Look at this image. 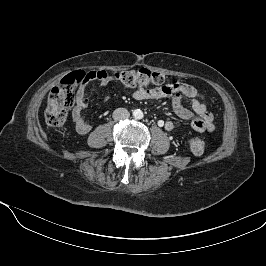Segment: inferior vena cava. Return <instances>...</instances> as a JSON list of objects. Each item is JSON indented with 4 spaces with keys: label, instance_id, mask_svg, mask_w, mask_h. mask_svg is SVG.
<instances>
[{
    "label": "inferior vena cava",
    "instance_id": "1",
    "mask_svg": "<svg viewBox=\"0 0 266 266\" xmlns=\"http://www.w3.org/2000/svg\"><path fill=\"white\" fill-rule=\"evenodd\" d=\"M130 117V113L125 108H117L113 112V119L115 121L126 120Z\"/></svg>",
    "mask_w": 266,
    "mask_h": 266
}]
</instances>
